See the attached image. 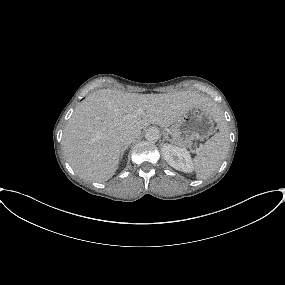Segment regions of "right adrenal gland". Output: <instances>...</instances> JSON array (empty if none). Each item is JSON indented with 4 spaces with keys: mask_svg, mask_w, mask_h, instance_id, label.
I'll list each match as a JSON object with an SVG mask.
<instances>
[{
    "mask_svg": "<svg viewBox=\"0 0 285 285\" xmlns=\"http://www.w3.org/2000/svg\"><path fill=\"white\" fill-rule=\"evenodd\" d=\"M125 150H128V146H126V147H124V148L122 149V152H121V159H122V157H123V154H124Z\"/></svg>",
    "mask_w": 285,
    "mask_h": 285,
    "instance_id": "obj_1",
    "label": "right adrenal gland"
}]
</instances>
